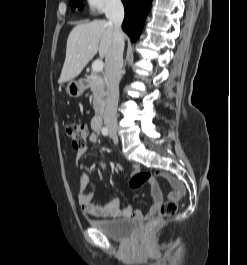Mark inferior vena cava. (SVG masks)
I'll return each mask as SVG.
<instances>
[{
	"instance_id": "obj_1",
	"label": "inferior vena cava",
	"mask_w": 247,
	"mask_h": 265,
	"mask_svg": "<svg viewBox=\"0 0 247 265\" xmlns=\"http://www.w3.org/2000/svg\"><path fill=\"white\" fill-rule=\"evenodd\" d=\"M106 17L113 26V40L105 58V73L108 79V93L104 113V122L107 126L117 125V106L119 100V83L122 78L124 34L121 24L124 18V7L121 0H111Z\"/></svg>"
}]
</instances>
